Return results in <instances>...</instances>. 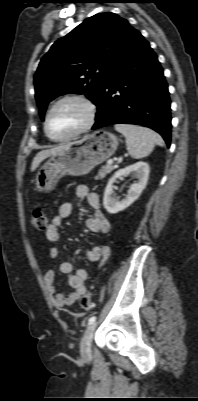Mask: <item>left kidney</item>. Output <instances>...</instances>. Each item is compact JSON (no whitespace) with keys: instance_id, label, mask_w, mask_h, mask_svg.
<instances>
[{"instance_id":"left-kidney-1","label":"left kidney","mask_w":198,"mask_h":401,"mask_svg":"<svg viewBox=\"0 0 198 401\" xmlns=\"http://www.w3.org/2000/svg\"><path fill=\"white\" fill-rule=\"evenodd\" d=\"M149 165L146 162H137L133 165L120 169L109 179L108 184L104 191L103 205L110 214H116L129 207L135 202L142 191L145 189L149 177ZM133 173L138 179L137 183L130 186L127 197L119 200L113 192V183L121 176Z\"/></svg>"}]
</instances>
